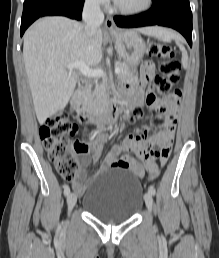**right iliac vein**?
Here are the masks:
<instances>
[{
	"label": "right iliac vein",
	"instance_id": "1",
	"mask_svg": "<svg viewBox=\"0 0 219 258\" xmlns=\"http://www.w3.org/2000/svg\"><path fill=\"white\" fill-rule=\"evenodd\" d=\"M77 202V197L74 193H70L67 196V204H68V210L69 212L74 208Z\"/></svg>",
	"mask_w": 219,
	"mask_h": 258
}]
</instances>
